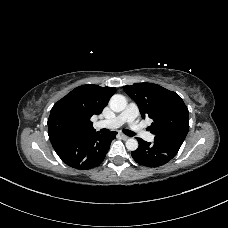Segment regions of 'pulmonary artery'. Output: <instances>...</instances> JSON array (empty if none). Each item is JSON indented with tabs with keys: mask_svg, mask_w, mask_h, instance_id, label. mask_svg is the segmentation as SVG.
<instances>
[{
	"mask_svg": "<svg viewBox=\"0 0 228 228\" xmlns=\"http://www.w3.org/2000/svg\"><path fill=\"white\" fill-rule=\"evenodd\" d=\"M139 115V109L137 105L131 102L127 108L120 113L119 115L108 119V120H101L97 122V127H106V128H117L124 123H128L130 128L136 135L141 136L143 139L147 141L153 140V135L149 132H146L142 125L138 123L137 117Z\"/></svg>",
	"mask_w": 228,
	"mask_h": 228,
	"instance_id": "1",
	"label": "pulmonary artery"
}]
</instances>
